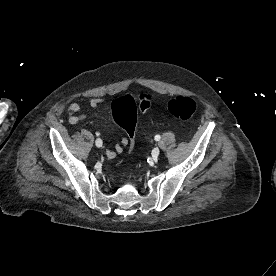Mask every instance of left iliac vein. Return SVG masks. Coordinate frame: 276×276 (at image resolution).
I'll use <instances>...</instances> for the list:
<instances>
[{"instance_id":"left-iliac-vein-1","label":"left iliac vein","mask_w":276,"mask_h":276,"mask_svg":"<svg viewBox=\"0 0 276 276\" xmlns=\"http://www.w3.org/2000/svg\"><path fill=\"white\" fill-rule=\"evenodd\" d=\"M159 154H160L159 148H154V149L152 150V156H153L154 158H157V157L159 156Z\"/></svg>"}]
</instances>
